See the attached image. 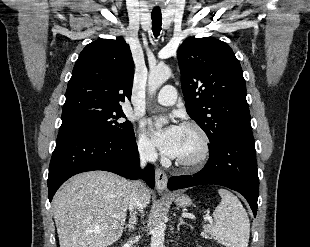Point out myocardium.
Instances as JSON below:
<instances>
[{"label":"myocardium","instance_id":"myocardium-1","mask_svg":"<svg viewBox=\"0 0 310 247\" xmlns=\"http://www.w3.org/2000/svg\"><path fill=\"white\" fill-rule=\"evenodd\" d=\"M182 128L191 129L199 135L201 141V149L196 156L188 159L175 158V162L178 165L187 169L197 168L201 166L210 155L211 144L209 135L201 125L195 122H185L182 124Z\"/></svg>","mask_w":310,"mask_h":247}]
</instances>
